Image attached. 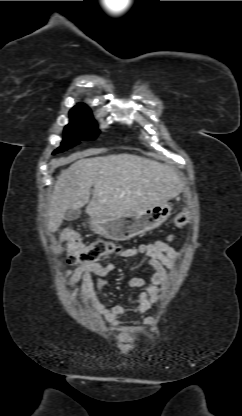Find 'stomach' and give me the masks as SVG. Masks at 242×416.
<instances>
[{"mask_svg": "<svg viewBox=\"0 0 242 416\" xmlns=\"http://www.w3.org/2000/svg\"><path fill=\"white\" fill-rule=\"evenodd\" d=\"M170 203L156 205L141 213L117 217H92L91 230L107 239L125 241L158 228L171 215Z\"/></svg>", "mask_w": 242, "mask_h": 416, "instance_id": "1", "label": "stomach"}]
</instances>
